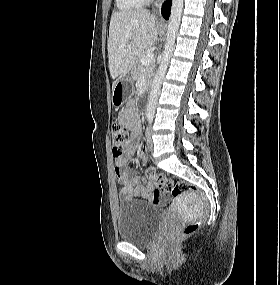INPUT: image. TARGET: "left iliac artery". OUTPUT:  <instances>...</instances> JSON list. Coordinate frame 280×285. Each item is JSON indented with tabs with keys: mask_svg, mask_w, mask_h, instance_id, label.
<instances>
[{
	"mask_svg": "<svg viewBox=\"0 0 280 285\" xmlns=\"http://www.w3.org/2000/svg\"><path fill=\"white\" fill-rule=\"evenodd\" d=\"M149 121L151 122V121H152V118H149Z\"/></svg>",
	"mask_w": 280,
	"mask_h": 285,
	"instance_id": "left-iliac-artery-1",
	"label": "left iliac artery"
}]
</instances>
